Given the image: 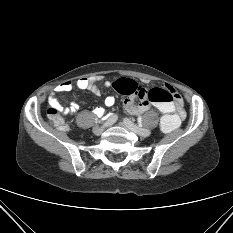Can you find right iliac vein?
Masks as SVG:
<instances>
[{
    "instance_id": "1",
    "label": "right iliac vein",
    "mask_w": 233,
    "mask_h": 233,
    "mask_svg": "<svg viewBox=\"0 0 233 233\" xmlns=\"http://www.w3.org/2000/svg\"><path fill=\"white\" fill-rule=\"evenodd\" d=\"M104 129H105V125H104V127L96 126V127H94V129H93V133H94L95 135H100V134L104 131Z\"/></svg>"
}]
</instances>
